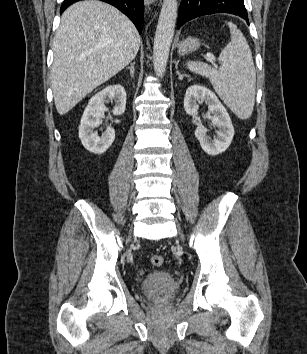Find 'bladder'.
I'll return each instance as SVG.
<instances>
[{
    "label": "bladder",
    "mask_w": 307,
    "mask_h": 354,
    "mask_svg": "<svg viewBox=\"0 0 307 354\" xmlns=\"http://www.w3.org/2000/svg\"><path fill=\"white\" fill-rule=\"evenodd\" d=\"M140 288L150 299L167 300L177 293L179 284L169 272L159 270L147 274L141 281Z\"/></svg>",
    "instance_id": "bladder-1"
}]
</instances>
